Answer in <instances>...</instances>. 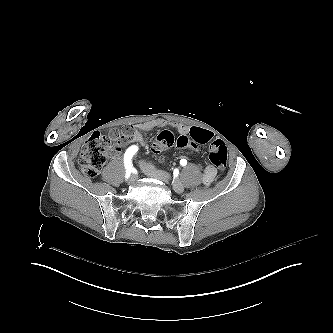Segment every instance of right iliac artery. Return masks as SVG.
Returning a JSON list of instances; mask_svg holds the SVG:
<instances>
[{
    "instance_id": "1",
    "label": "right iliac artery",
    "mask_w": 333,
    "mask_h": 333,
    "mask_svg": "<svg viewBox=\"0 0 333 333\" xmlns=\"http://www.w3.org/2000/svg\"><path fill=\"white\" fill-rule=\"evenodd\" d=\"M138 151V147L133 145L129 147L124 155V164H125V169H126V178L130 176V173L132 172V162L131 159L133 155Z\"/></svg>"
}]
</instances>
